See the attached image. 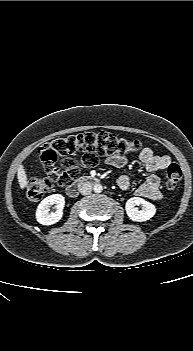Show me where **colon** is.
Masks as SVG:
<instances>
[{"label":"colon","instance_id":"obj_1","mask_svg":"<svg viewBox=\"0 0 193 351\" xmlns=\"http://www.w3.org/2000/svg\"><path fill=\"white\" fill-rule=\"evenodd\" d=\"M140 149L141 143L138 140L125 139L105 131L57 138L40 147L39 159L47 176L33 178L28 182L27 197L34 201L42 199L51 190L53 183H57L60 187L70 185L77 179L82 167H95L102 156L135 153ZM75 153H82L79 161L63 160L62 168H56L55 163L58 157H66ZM181 180L180 167L175 163L170 164L165 172L167 189L175 190Z\"/></svg>","mask_w":193,"mask_h":351}]
</instances>
